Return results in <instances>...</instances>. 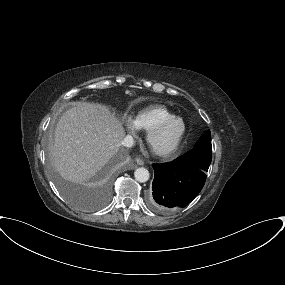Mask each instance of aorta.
<instances>
[{"label": "aorta", "instance_id": "aorta-1", "mask_svg": "<svg viewBox=\"0 0 285 285\" xmlns=\"http://www.w3.org/2000/svg\"><path fill=\"white\" fill-rule=\"evenodd\" d=\"M134 177L138 182L144 183L149 180L150 174L146 168L140 167L135 170Z\"/></svg>", "mask_w": 285, "mask_h": 285}]
</instances>
